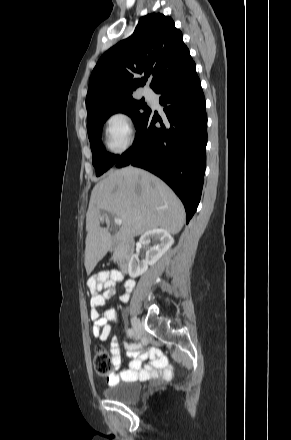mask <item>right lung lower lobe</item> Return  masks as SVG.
<instances>
[{"mask_svg": "<svg viewBox=\"0 0 291 440\" xmlns=\"http://www.w3.org/2000/svg\"><path fill=\"white\" fill-rule=\"evenodd\" d=\"M155 92L165 115L149 110L116 167H141L164 180L183 202L188 223L201 197L207 144L205 98L195 66Z\"/></svg>", "mask_w": 291, "mask_h": 440, "instance_id": "1", "label": "right lung lower lobe"}]
</instances>
